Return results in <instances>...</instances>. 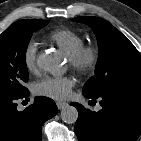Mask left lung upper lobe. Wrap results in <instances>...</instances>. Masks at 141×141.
Masks as SVG:
<instances>
[{"mask_svg":"<svg viewBox=\"0 0 141 141\" xmlns=\"http://www.w3.org/2000/svg\"><path fill=\"white\" fill-rule=\"evenodd\" d=\"M73 21L90 26L99 46L95 76L82 92L93 97L110 91L141 94V56L134 45L100 17L80 16Z\"/></svg>","mask_w":141,"mask_h":141,"instance_id":"obj_1","label":"left lung upper lobe"}]
</instances>
